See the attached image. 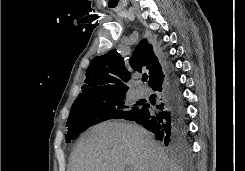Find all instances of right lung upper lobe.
I'll list each match as a JSON object with an SVG mask.
<instances>
[{
	"label": "right lung upper lobe",
	"instance_id": "obj_1",
	"mask_svg": "<svg viewBox=\"0 0 245 171\" xmlns=\"http://www.w3.org/2000/svg\"><path fill=\"white\" fill-rule=\"evenodd\" d=\"M133 70L141 72L144 66L149 69V86L155 83L164 72L154 49L147 40H142L135 48L130 60ZM151 65V66H149ZM130 72L125 68L123 58L116 50L95 57L87 69L82 93L75 101L98 99L118 94H126Z\"/></svg>",
	"mask_w": 245,
	"mask_h": 171
}]
</instances>
